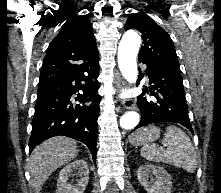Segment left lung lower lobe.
Segmentation results:
<instances>
[{
    "label": "left lung lower lobe",
    "mask_w": 221,
    "mask_h": 193,
    "mask_svg": "<svg viewBox=\"0 0 221 193\" xmlns=\"http://www.w3.org/2000/svg\"><path fill=\"white\" fill-rule=\"evenodd\" d=\"M139 62L147 65L150 86L145 89L149 97L144 96V90L137 97L141 120L134 130L152 123L175 122L193 132L180 72L141 59Z\"/></svg>",
    "instance_id": "0a47b994"
}]
</instances>
